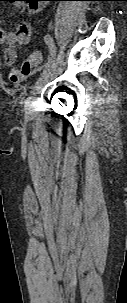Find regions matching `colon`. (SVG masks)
Masks as SVG:
<instances>
[{"instance_id":"1","label":"colon","mask_w":127,"mask_h":303,"mask_svg":"<svg viewBox=\"0 0 127 303\" xmlns=\"http://www.w3.org/2000/svg\"><path fill=\"white\" fill-rule=\"evenodd\" d=\"M41 62V54L39 52L31 53L22 65L18 68H13L8 73V78L13 83H19L32 72L34 67H37Z\"/></svg>"}]
</instances>
